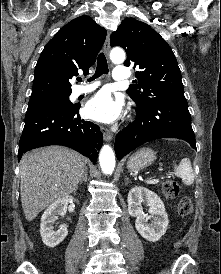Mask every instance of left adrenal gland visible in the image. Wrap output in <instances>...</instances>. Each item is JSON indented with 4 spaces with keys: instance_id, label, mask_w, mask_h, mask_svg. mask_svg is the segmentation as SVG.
I'll list each match as a JSON object with an SVG mask.
<instances>
[{
    "instance_id": "a2214340",
    "label": "left adrenal gland",
    "mask_w": 221,
    "mask_h": 274,
    "mask_svg": "<svg viewBox=\"0 0 221 274\" xmlns=\"http://www.w3.org/2000/svg\"><path fill=\"white\" fill-rule=\"evenodd\" d=\"M128 183H130L128 177L125 176V185H127Z\"/></svg>"
}]
</instances>
